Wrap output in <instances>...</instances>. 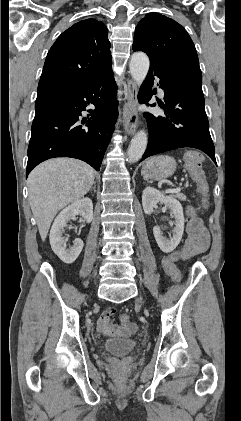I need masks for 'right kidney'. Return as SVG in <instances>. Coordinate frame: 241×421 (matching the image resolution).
Wrapping results in <instances>:
<instances>
[{
    "label": "right kidney",
    "mask_w": 241,
    "mask_h": 421,
    "mask_svg": "<svg viewBox=\"0 0 241 421\" xmlns=\"http://www.w3.org/2000/svg\"><path fill=\"white\" fill-rule=\"evenodd\" d=\"M80 214L87 223L93 219V204L90 198H82L63 209L54 220L50 231V244L54 253L65 263H73L80 255L84 243L81 239L74 240V245L67 248L66 240L62 236L67 221Z\"/></svg>",
    "instance_id": "ca27d5eb"
}]
</instances>
